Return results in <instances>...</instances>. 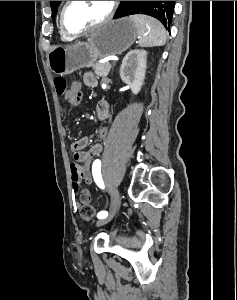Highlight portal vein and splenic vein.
<instances>
[{"instance_id": "18ae733b", "label": "portal vein and splenic vein", "mask_w": 237, "mask_h": 300, "mask_svg": "<svg viewBox=\"0 0 237 300\" xmlns=\"http://www.w3.org/2000/svg\"><path fill=\"white\" fill-rule=\"evenodd\" d=\"M107 64H108V65H107ZM107 64L104 65V68H106V69L108 68V69H109V68L111 67V66L109 65L110 63L108 62Z\"/></svg>"}]
</instances>
